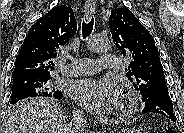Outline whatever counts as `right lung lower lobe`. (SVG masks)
<instances>
[{
  "mask_svg": "<svg viewBox=\"0 0 184 133\" xmlns=\"http://www.w3.org/2000/svg\"><path fill=\"white\" fill-rule=\"evenodd\" d=\"M52 97H54L55 99L61 100V99H62V97H63V94H62V93H60V94H58V95H54V96H52Z\"/></svg>",
  "mask_w": 184,
  "mask_h": 133,
  "instance_id": "right-lung-lower-lobe-1",
  "label": "right lung lower lobe"
}]
</instances>
